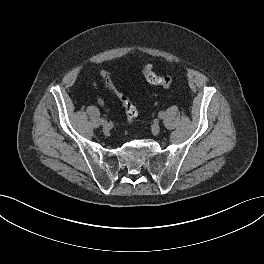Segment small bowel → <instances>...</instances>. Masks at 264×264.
<instances>
[{
  "label": "small bowel",
  "mask_w": 264,
  "mask_h": 264,
  "mask_svg": "<svg viewBox=\"0 0 264 264\" xmlns=\"http://www.w3.org/2000/svg\"><path fill=\"white\" fill-rule=\"evenodd\" d=\"M98 103H99L100 105H104V101H103L102 99H99V100H98Z\"/></svg>",
  "instance_id": "c3829d8e"
}]
</instances>
